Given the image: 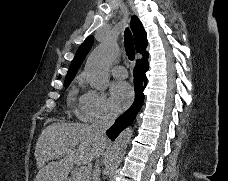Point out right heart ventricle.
<instances>
[{"mask_svg":"<svg viewBox=\"0 0 228 181\" xmlns=\"http://www.w3.org/2000/svg\"><path fill=\"white\" fill-rule=\"evenodd\" d=\"M89 79L92 81L91 76ZM86 82H87V78H86L85 74L76 75V77L74 78V81H73V86H72L70 95L74 96L77 93V88L75 87V84H78L79 86H83V85H85Z\"/></svg>","mask_w":228,"mask_h":181,"instance_id":"e07e8e85","label":"right heart ventricle"}]
</instances>
